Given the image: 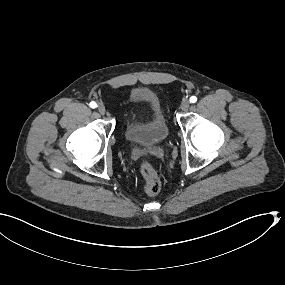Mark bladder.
<instances>
[{
	"mask_svg": "<svg viewBox=\"0 0 285 285\" xmlns=\"http://www.w3.org/2000/svg\"><path fill=\"white\" fill-rule=\"evenodd\" d=\"M125 122L127 131L123 138L139 147L159 146L171 134V127L165 118L161 103L157 99L151 104H146L141 113H138L132 106Z\"/></svg>",
	"mask_w": 285,
	"mask_h": 285,
	"instance_id": "31cf9c89",
	"label": "bladder"
}]
</instances>
